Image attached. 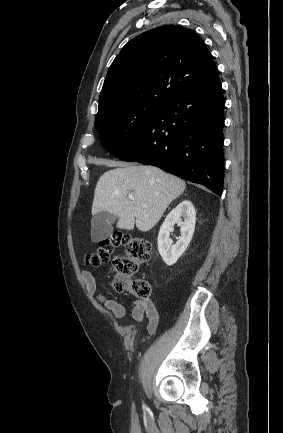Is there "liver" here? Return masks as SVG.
<instances>
[{
	"instance_id": "liver-1",
	"label": "liver",
	"mask_w": 283,
	"mask_h": 433,
	"mask_svg": "<svg viewBox=\"0 0 283 433\" xmlns=\"http://www.w3.org/2000/svg\"><path fill=\"white\" fill-rule=\"evenodd\" d=\"M113 164L118 168L104 172L95 186L92 214L101 210L117 214L118 229L133 231L136 225L143 233L150 231L168 204L186 188L184 180L157 166H135L115 160Z\"/></svg>"
}]
</instances>
